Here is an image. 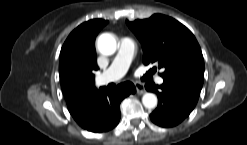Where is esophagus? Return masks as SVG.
<instances>
[{"mask_svg": "<svg viewBox=\"0 0 247 145\" xmlns=\"http://www.w3.org/2000/svg\"><path fill=\"white\" fill-rule=\"evenodd\" d=\"M135 87H136V92L141 95L145 92V89H144V86L143 84L139 83V82H136L135 83Z\"/></svg>", "mask_w": 247, "mask_h": 145, "instance_id": "34e87169", "label": "esophagus"}]
</instances>
